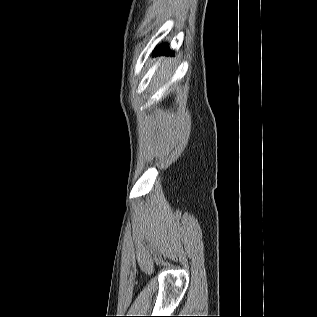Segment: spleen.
I'll return each mask as SVG.
<instances>
[{
	"label": "spleen",
	"mask_w": 317,
	"mask_h": 317,
	"mask_svg": "<svg viewBox=\"0 0 317 317\" xmlns=\"http://www.w3.org/2000/svg\"><path fill=\"white\" fill-rule=\"evenodd\" d=\"M167 66H168V63L166 62L165 67H167ZM165 67H164V69H162V73H164V76H166V78H169L171 74L166 71Z\"/></svg>",
	"instance_id": "1"
}]
</instances>
